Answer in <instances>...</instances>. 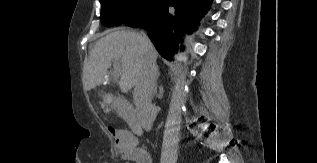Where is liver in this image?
<instances>
[{
	"instance_id": "1",
	"label": "liver",
	"mask_w": 317,
	"mask_h": 163,
	"mask_svg": "<svg viewBox=\"0 0 317 163\" xmlns=\"http://www.w3.org/2000/svg\"><path fill=\"white\" fill-rule=\"evenodd\" d=\"M154 54L156 51L153 47ZM144 59L143 36L136 31L117 30L101 37L91 51L89 61L84 68L83 85L91 90L104 82L112 61H119V86L123 93L130 91L138 80ZM114 97L107 93L100 103L105 113L114 107Z\"/></svg>"
}]
</instances>
